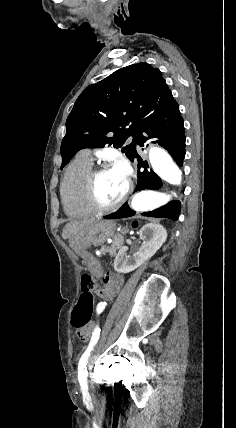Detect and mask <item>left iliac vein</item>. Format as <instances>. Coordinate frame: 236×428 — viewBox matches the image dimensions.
<instances>
[{
	"label": "left iliac vein",
	"instance_id": "obj_1",
	"mask_svg": "<svg viewBox=\"0 0 236 428\" xmlns=\"http://www.w3.org/2000/svg\"><path fill=\"white\" fill-rule=\"evenodd\" d=\"M105 344H106V341L102 340L100 345L103 347ZM101 355H102V349L99 347L98 349L92 352V360H95V358H98Z\"/></svg>",
	"mask_w": 236,
	"mask_h": 428
}]
</instances>
